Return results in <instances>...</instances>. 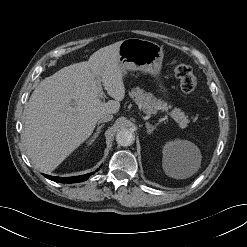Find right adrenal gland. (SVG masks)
Instances as JSON below:
<instances>
[{
  "mask_svg": "<svg viewBox=\"0 0 247 247\" xmlns=\"http://www.w3.org/2000/svg\"><path fill=\"white\" fill-rule=\"evenodd\" d=\"M104 127V124L100 125L97 127L96 132L94 133V135L92 136L91 140H90V144H92L98 137V135L101 132V129Z\"/></svg>",
  "mask_w": 247,
  "mask_h": 247,
  "instance_id": "2a0ac1e0",
  "label": "right adrenal gland"
}]
</instances>
